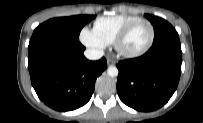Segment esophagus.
<instances>
[{
	"instance_id": "34e87169",
	"label": "esophagus",
	"mask_w": 203,
	"mask_h": 123,
	"mask_svg": "<svg viewBox=\"0 0 203 123\" xmlns=\"http://www.w3.org/2000/svg\"><path fill=\"white\" fill-rule=\"evenodd\" d=\"M107 64H108V66H112V65L115 64V62H114V60L108 58L107 59Z\"/></svg>"
}]
</instances>
